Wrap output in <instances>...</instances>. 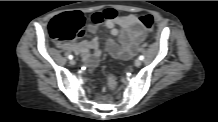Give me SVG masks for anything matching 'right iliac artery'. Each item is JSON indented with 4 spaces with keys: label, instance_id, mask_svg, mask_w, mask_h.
<instances>
[{
    "label": "right iliac artery",
    "instance_id": "1",
    "mask_svg": "<svg viewBox=\"0 0 218 122\" xmlns=\"http://www.w3.org/2000/svg\"><path fill=\"white\" fill-rule=\"evenodd\" d=\"M68 58H69L70 60H72V59H73V56H72V55H69Z\"/></svg>",
    "mask_w": 218,
    "mask_h": 122
}]
</instances>
